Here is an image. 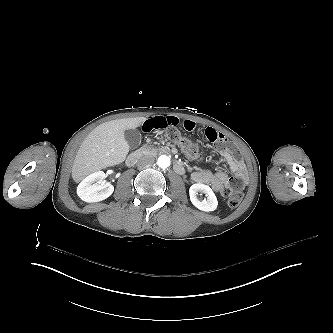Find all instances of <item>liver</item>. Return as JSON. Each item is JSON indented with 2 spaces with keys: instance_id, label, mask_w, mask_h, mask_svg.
I'll use <instances>...</instances> for the list:
<instances>
[{
  "instance_id": "1",
  "label": "liver",
  "mask_w": 333,
  "mask_h": 333,
  "mask_svg": "<svg viewBox=\"0 0 333 333\" xmlns=\"http://www.w3.org/2000/svg\"><path fill=\"white\" fill-rule=\"evenodd\" d=\"M147 117L123 118L104 122L84 139L75 156L71 176L80 183L93 172L123 163L129 153L126 130L141 126Z\"/></svg>"
}]
</instances>
